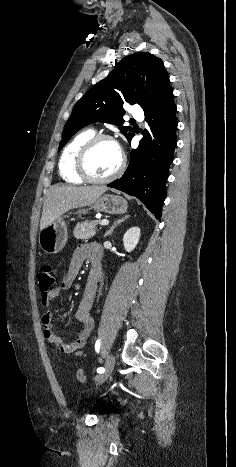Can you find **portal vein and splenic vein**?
Masks as SVG:
<instances>
[{
    "label": "portal vein and splenic vein",
    "mask_w": 236,
    "mask_h": 467,
    "mask_svg": "<svg viewBox=\"0 0 236 467\" xmlns=\"http://www.w3.org/2000/svg\"><path fill=\"white\" fill-rule=\"evenodd\" d=\"M108 224H109V221L106 220V219L100 221V225H101V226H106V225H108Z\"/></svg>",
    "instance_id": "1"
}]
</instances>
